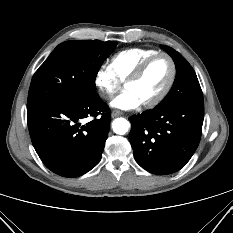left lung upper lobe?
Wrapping results in <instances>:
<instances>
[{
  "instance_id": "5c2ea615",
  "label": "left lung upper lobe",
  "mask_w": 233,
  "mask_h": 233,
  "mask_svg": "<svg viewBox=\"0 0 233 233\" xmlns=\"http://www.w3.org/2000/svg\"><path fill=\"white\" fill-rule=\"evenodd\" d=\"M176 65V78L167 96L155 107L160 108L178 102H203V93L196 73L187 60L169 46H162Z\"/></svg>"
}]
</instances>
